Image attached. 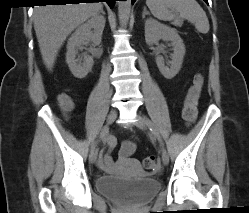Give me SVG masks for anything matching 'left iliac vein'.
I'll return each instance as SVG.
<instances>
[{
    "label": "left iliac vein",
    "instance_id": "obj_1",
    "mask_svg": "<svg viewBox=\"0 0 249 213\" xmlns=\"http://www.w3.org/2000/svg\"><path fill=\"white\" fill-rule=\"evenodd\" d=\"M135 125L140 128V129H146L148 124L146 122V120L141 117V116H137L136 117V122H135ZM162 161L165 165H167L169 163V155L168 153L166 152V150L163 149L162 151Z\"/></svg>",
    "mask_w": 249,
    "mask_h": 213
}]
</instances>
